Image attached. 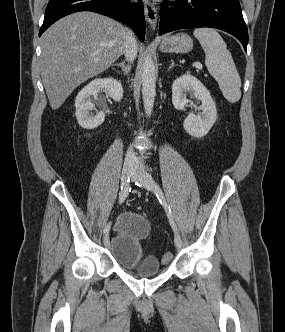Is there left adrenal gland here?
<instances>
[{
	"mask_svg": "<svg viewBox=\"0 0 285 332\" xmlns=\"http://www.w3.org/2000/svg\"><path fill=\"white\" fill-rule=\"evenodd\" d=\"M175 66V63H174V61H173V59H171V65H170V67H169V69L168 70H170L172 67H174Z\"/></svg>",
	"mask_w": 285,
	"mask_h": 332,
	"instance_id": "left-adrenal-gland-1",
	"label": "left adrenal gland"
}]
</instances>
